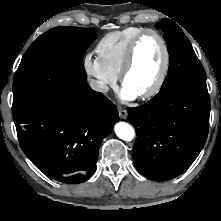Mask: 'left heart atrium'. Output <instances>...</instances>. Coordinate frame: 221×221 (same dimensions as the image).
Returning <instances> with one entry per match:
<instances>
[{
	"instance_id": "obj_1",
	"label": "left heart atrium",
	"mask_w": 221,
	"mask_h": 221,
	"mask_svg": "<svg viewBox=\"0 0 221 221\" xmlns=\"http://www.w3.org/2000/svg\"><path fill=\"white\" fill-rule=\"evenodd\" d=\"M121 96L124 100H133L137 97V94L127 87L123 86Z\"/></svg>"
}]
</instances>
